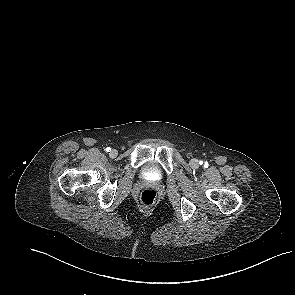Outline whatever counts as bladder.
I'll list each match as a JSON object with an SVG mask.
<instances>
[{
	"instance_id": "obj_1",
	"label": "bladder",
	"mask_w": 295,
	"mask_h": 295,
	"mask_svg": "<svg viewBox=\"0 0 295 295\" xmlns=\"http://www.w3.org/2000/svg\"><path fill=\"white\" fill-rule=\"evenodd\" d=\"M144 170L147 173H158V168L154 163H146L144 166Z\"/></svg>"
}]
</instances>
